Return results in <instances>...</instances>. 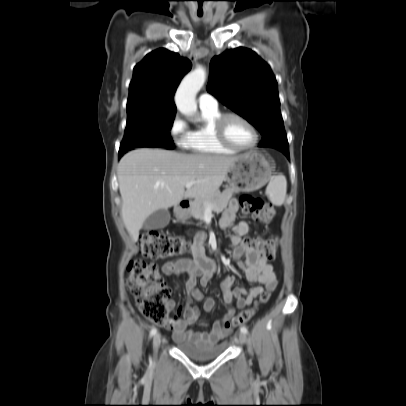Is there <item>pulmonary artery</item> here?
Instances as JSON below:
<instances>
[{
    "label": "pulmonary artery",
    "instance_id": "1",
    "mask_svg": "<svg viewBox=\"0 0 406 406\" xmlns=\"http://www.w3.org/2000/svg\"><path fill=\"white\" fill-rule=\"evenodd\" d=\"M198 104L200 106V108H217L218 107V101L217 99L207 93V92H203L199 95L198 97Z\"/></svg>",
    "mask_w": 406,
    "mask_h": 406
}]
</instances>
